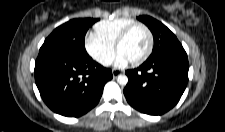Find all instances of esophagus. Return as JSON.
I'll return each instance as SVG.
<instances>
[{"mask_svg":"<svg viewBox=\"0 0 225 132\" xmlns=\"http://www.w3.org/2000/svg\"><path fill=\"white\" fill-rule=\"evenodd\" d=\"M121 73H122V71H120V70H117V69L112 70L113 77H117Z\"/></svg>","mask_w":225,"mask_h":132,"instance_id":"obj_1","label":"esophagus"}]
</instances>
